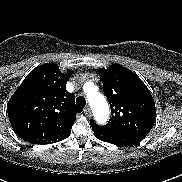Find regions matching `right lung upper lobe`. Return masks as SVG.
Returning a JSON list of instances; mask_svg holds the SVG:
<instances>
[{"instance_id": "1", "label": "right lung upper lobe", "mask_w": 182, "mask_h": 182, "mask_svg": "<svg viewBox=\"0 0 182 182\" xmlns=\"http://www.w3.org/2000/svg\"><path fill=\"white\" fill-rule=\"evenodd\" d=\"M72 75L62 73L54 63L33 69L14 92L7 113L15 133L32 144H48L66 139L82 111L74 103V94L66 90Z\"/></svg>"}]
</instances>
